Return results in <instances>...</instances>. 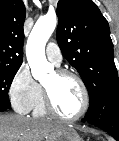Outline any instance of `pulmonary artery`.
<instances>
[{"instance_id": "pulmonary-artery-1", "label": "pulmonary artery", "mask_w": 119, "mask_h": 141, "mask_svg": "<svg viewBox=\"0 0 119 141\" xmlns=\"http://www.w3.org/2000/svg\"><path fill=\"white\" fill-rule=\"evenodd\" d=\"M45 53H46V57L49 61H51L56 66L61 65L62 54H61V51H60V49H59V47L57 46L56 43L49 42L46 46Z\"/></svg>"}]
</instances>
